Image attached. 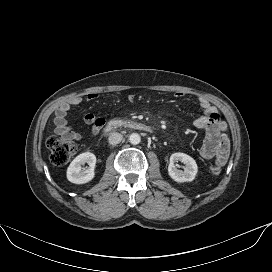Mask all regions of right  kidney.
<instances>
[{
  "instance_id": "obj_1",
  "label": "right kidney",
  "mask_w": 272,
  "mask_h": 272,
  "mask_svg": "<svg viewBox=\"0 0 272 272\" xmlns=\"http://www.w3.org/2000/svg\"><path fill=\"white\" fill-rule=\"evenodd\" d=\"M88 163L89 167L82 170L81 165ZM96 157L93 153L84 152L78 155L67 168V179L75 184H85L91 181L94 176Z\"/></svg>"
}]
</instances>
